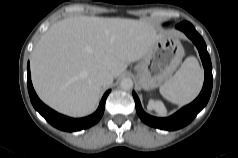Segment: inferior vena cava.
<instances>
[{
  "label": "inferior vena cava",
  "mask_w": 238,
  "mask_h": 158,
  "mask_svg": "<svg viewBox=\"0 0 238 158\" xmlns=\"http://www.w3.org/2000/svg\"><path fill=\"white\" fill-rule=\"evenodd\" d=\"M97 80L100 85L107 87L113 82V75L107 70H101L97 74Z\"/></svg>",
  "instance_id": "obj_1"
}]
</instances>
